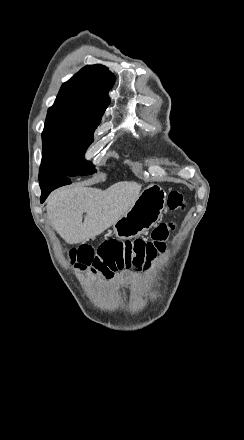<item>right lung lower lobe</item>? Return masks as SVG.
I'll return each instance as SVG.
<instances>
[{
	"label": "right lung lower lobe",
	"instance_id": "98d812e1",
	"mask_svg": "<svg viewBox=\"0 0 244 440\" xmlns=\"http://www.w3.org/2000/svg\"><path fill=\"white\" fill-rule=\"evenodd\" d=\"M67 184H71L70 177L45 178L40 180V188L42 192L40 202L43 203L51 191Z\"/></svg>",
	"mask_w": 244,
	"mask_h": 440
}]
</instances>
